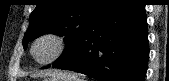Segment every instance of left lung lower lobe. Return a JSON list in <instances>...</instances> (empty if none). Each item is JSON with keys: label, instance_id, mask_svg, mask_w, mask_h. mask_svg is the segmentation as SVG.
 <instances>
[{"label": "left lung lower lobe", "instance_id": "obj_1", "mask_svg": "<svg viewBox=\"0 0 169 81\" xmlns=\"http://www.w3.org/2000/svg\"><path fill=\"white\" fill-rule=\"evenodd\" d=\"M149 57L141 0H112L86 28L71 57L55 66L99 81H144Z\"/></svg>", "mask_w": 169, "mask_h": 81}]
</instances>
